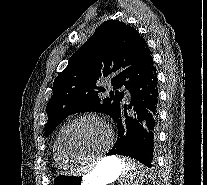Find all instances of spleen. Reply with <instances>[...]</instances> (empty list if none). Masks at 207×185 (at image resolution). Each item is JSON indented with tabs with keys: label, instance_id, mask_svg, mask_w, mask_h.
Here are the masks:
<instances>
[{
	"label": "spleen",
	"instance_id": "3e777b00",
	"mask_svg": "<svg viewBox=\"0 0 207 185\" xmlns=\"http://www.w3.org/2000/svg\"><path fill=\"white\" fill-rule=\"evenodd\" d=\"M119 163H124L123 171H128L121 174L123 185H136L143 183V179H152V174H148V166H142L134 158H119Z\"/></svg>",
	"mask_w": 207,
	"mask_h": 185
}]
</instances>
